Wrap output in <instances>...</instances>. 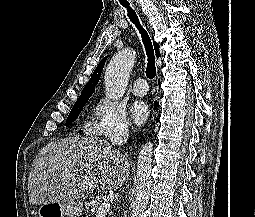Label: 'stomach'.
Listing matches in <instances>:
<instances>
[{
	"instance_id": "1",
	"label": "stomach",
	"mask_w": 255,
	"mask_h": 217,
	"mask_svg": "<svg viewBox=\"0 0 255 217\" xmlns=\"http://www.w3.org/2000/svg\"><path fill=\"white\" fill-rule=\"evenodd\" d=\"M83 203L76 199L66 202H50L42 204L38 217H80L83 213Z\"/></svg>"
}]
</instances>
